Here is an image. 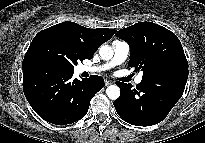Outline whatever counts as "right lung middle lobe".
<instances>
[{
    "label": "right lung middle lobe",
    "mask_w": 205,
    "mask_h": 143,
    "mask_svg": "<svg viewBox=\"0 0 205 143\" xmlns=\"http://www.w3.org/2000/svg\"><path fill=\"white\" fill-rule=\"evenodd\" d=\"M87 59L81 47L60 29L47 28L32 40L23 61L37 60L72 71L78 61Z\"/></svg>",
    "instance_id": "1"
}]
</instances>
